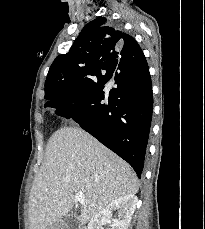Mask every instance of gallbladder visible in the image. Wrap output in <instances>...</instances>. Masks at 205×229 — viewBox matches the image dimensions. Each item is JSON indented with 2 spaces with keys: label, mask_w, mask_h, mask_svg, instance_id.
Wrapping results in <instances>:
<instances>
[{
  "label": "gallbladder",
  "mask_w": 205,
  "mask_h": 229,
  "mask_svg": "<svg viewBox=\"0 0 205 229\" xmlns=\"http://www.w3.org/2000/svg\"><path fill=\"white\" fill-rule=\"evenodd\" d=\"M66 224L65 226H67V229H75L74 227L77 225V221H76V213H73L70 217L65 219ZM60 227L61 223H58L57 225H54L53 227H50L48 229H56L55 227Z\"/></svg>",
  "instance_id": "1"
}]
</instances>
